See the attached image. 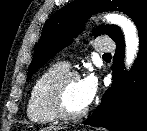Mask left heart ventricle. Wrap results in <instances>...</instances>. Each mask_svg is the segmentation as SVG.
<instances>
[{"instance_id":"left-heart-ventricle-1","label":"left heart ventricle","mask_w":147,"mask_h":131,"mask_svg":"<svg viewBox=\"0 0 147 131\" xmlns=\"http://www.w3.org/2000/svg\"><path fill=\"white\" fill-rule=\"evenodd\" d=\"M64 101L70 112H78L86 107L81 94L80 79H73L67 84Z\"/></svg>"}]
</instances>
